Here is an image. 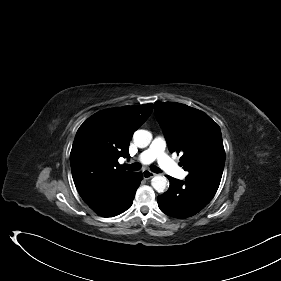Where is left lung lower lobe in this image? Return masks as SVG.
<instances>
[{
	"label": "left lung lower lobe",
	"instance_id": "0a47b994",
	"mask_svg": "<svg viewBox=\"0 0 281 281\" xmlns=\"http://www.w3.org/2000/svg\"><path fill=\"white\" fill-rule=\"evenodd\" d=\"M170 187L158 196L162 212L174 218H188L202 210L214 197L217 188L200 179L186 177L185 181L167 176Z\"/></svg>",
	"mask_w": 281,
	"mask_h": 281
}]
</instances>
